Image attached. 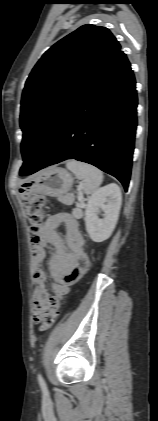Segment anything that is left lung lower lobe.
I'll return each instance as SVG.
<instances>
[{"mask_svg":"<svg viewBox=\"0 0 158 421\" xmlns=\"http://www.w3.org/2000/svg\"><path fill=\"white\" fill-rule=\"evenodd\" d=\"M136 107L134 74L120 49L65 112L34 167L20 175L76 159L113 175L127 190Z\"/></svg>","mask_w":158,"mask_h":421,"instance_id":"obj_1","label":"left lung lower lobe"}]
</instances>
